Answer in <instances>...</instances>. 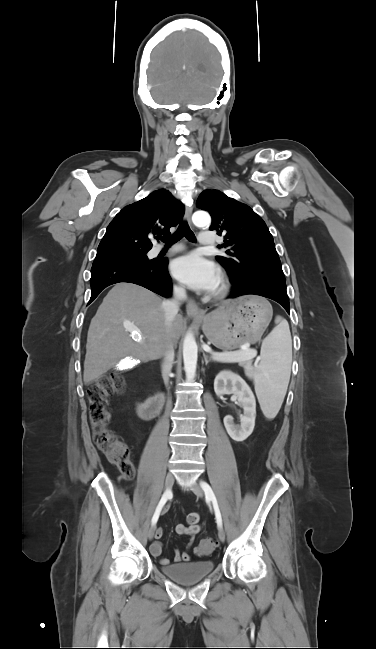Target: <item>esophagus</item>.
Instances as JSON below:
<instances>
[{
  "mask_svg": "<svg viewBox=\"0 0 376 649\" xmlns=\"http://www.w3.org/2000/svg\"><path fill=\"white\" fill-rule=\"evenodd\" d=\"M192 211H193V207L191 205H188L186 207L184 217H185V220H187L189 223H191ZM186 312H187V314L189 316L194 317V318H199V317H202V315H203L201 309L198 307V305L192 299L188 300V302L186 304Z\"/></svg>",
  "mask_w": 376,
  "mask_h": 649,
  "instance_id": "34e87169",
  "label": "esophagus"
}]
</instances>
